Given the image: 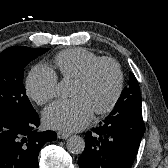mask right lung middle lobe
Here are the masks:
<instances>
[{
    "label": "right lung middle lobe",
    "instance_id": "dd1d6c3e",
    "mask_svg": "<svg viewBox=\"0 0 168 168\" xmlns=\"http://www.w3.org/2000/svg\"><path fill=\"white\" fill-rule=\"evenodd\" d=\"M49 48L13 46L0 54V113L34 114L23 85L24 68Z\"/></svg>",
    "mask_w": 168,
    "mask_h": 168
}]
</instances>
